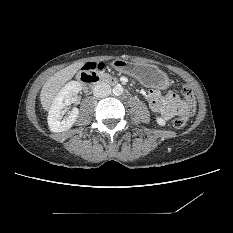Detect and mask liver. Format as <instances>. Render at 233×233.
<instances>
[{
    "instance_id": "liver-1",
    "label": "liver",
    "mask_w": 233,
    "mask_h": 233,
    "mask_svg": "<svg viewBox=\"0 0 233 233\" xmlns=\"http://www.w3.org/2000/svg\"><path fill=\"white\" fill-rule=\"evenodd\" d=\"M84 65L83 62H75L51 76L43 85L40 93V101L44 110H50L56 95L64 84L69 81L79 69Z\"/></svg>"
}]
</instances>
